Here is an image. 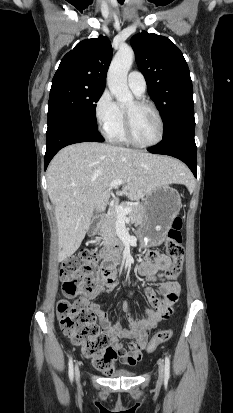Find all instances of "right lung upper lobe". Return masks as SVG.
Here are the masks:
<instances>
[{
  "label": "right lung upper lobe",
  "instance_id": "obj_1",
  "mask_svg": "<svg viewBox=\"0 0 233 413\" xmlns=\"http://www.w3.org/2000/svg\"><path fill=\"white\" fill-rule=\"evenodd\" d=\"M111 58L107 37L83 40L63 57L52 84L73 82L104 89Z\"/></svg>",
  "mask_w": 233,
  "mask_h": 413
}]
</instances>
